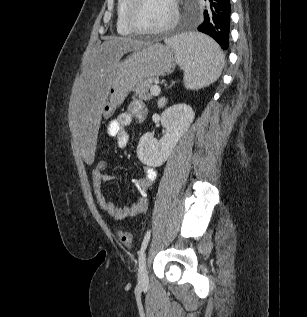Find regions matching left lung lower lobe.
Segmentation results:
<instances>
[{
	"instance_id": "left-lung-lower-lobe-1",
	"label": "left lung lower lobe",
	"mask_w": 307,
	"mask_h": 317,
	"mask_svg": "<svg viewBox=\"0 0 307 317\" xmlns=\"http://www.w3.org/2000/svg\"><path fill=\"white\" fill-rule=\"evenodd\" d=\"M206 9L198 31L211 36L223 50L228 48L230 28V0H205Z\"/></svg>"
}]
</instances>
